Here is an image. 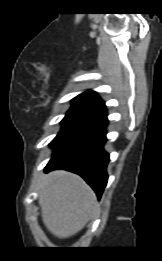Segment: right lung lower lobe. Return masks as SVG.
<instances>
[{
    "instance_id": "obj_1",
    "label": "right lung lower lobe",
    "mask_w": 162,
    "mask_h": 261,
    "mask_svg": "<svg viewBox=\"0 0 162 261\" xmlns=\"http://www.w3.org/2000/svg\"><path fill=\"white\" fill-rule=\"evenodd\" d=\"M107 124L103 108L62 129L50 143L54 154L46 171L65 169L80 175L100 199L108 180L109 154L103 149Z\"/></svg>"
}]
</instances>
